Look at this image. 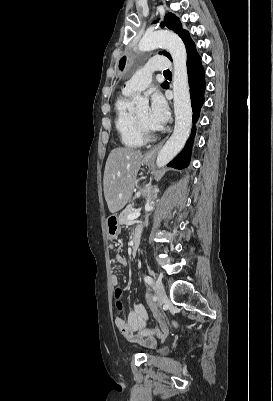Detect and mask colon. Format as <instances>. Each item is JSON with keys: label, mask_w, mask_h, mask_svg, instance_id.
Wrapping results in <instances>:
<instances>
[{"label": "colon", "mask_w": 273, "mask_h": 401, "mask_svg": "<svg viewBox=\"0 0 273 401\" xmlns=\"http://www.w3.org/2000/svg\"><path fill=\"white\" fill-rule=\"evenodd\" d=\"M122 296H123V292L121 288L116 289L115 291V297L117 299L116 301V309L118 314L121 316L123 314L124 311V304L122 302Z\"/></svg>", "instance_id": "obj_1"}]
</instances>
